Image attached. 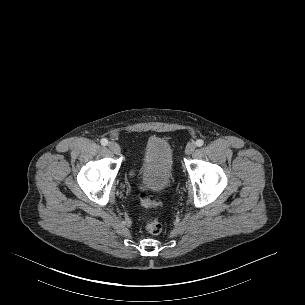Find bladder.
<instances>
[{"label":"bladder","instance_id":"bladder-1","mask_svg":"<svg viewBox=\"0 0 305 305\" xmlns=\"http://www.w3.org/2000/svg\"><path fill=\"white\" fill-rule=\"evenodd\" d=\"M144 184L152 190L169 187L175 176L174 158L170 144L161 137L147 139L140 152Z\"/></svg>","mask_w":305,"mask_h":305}]
</instances>
